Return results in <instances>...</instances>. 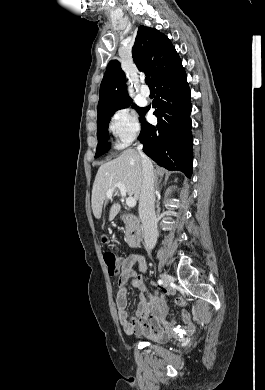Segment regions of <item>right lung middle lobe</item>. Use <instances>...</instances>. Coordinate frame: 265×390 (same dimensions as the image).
Here are the masks:
<instances>
[{
    "label": "right lung middle lobe",
    "instance_id": "right-lung-middle-lobe-1",
    "mask_svg": "<svg viewBox=\"0 0 265 390\" xmlns=\"http://www.w3.org/2000/svg\"><path fill=\"white\" fill-rule=\"evenodd\" d=\"M131 104H132V100H128L115 108L105 111L104 113L100 114L97 117L98 145H97L95 158L103 155L110 149V143H108L107 140H108V126H109V121L111 119V116L114 114L115 111L122 108H127ZM132 107L138 111L139 115L142 118L145 108H139L135 105H133Z\"/></svg>",
    "mask_w": 265,
    "mask_h": 390
}]
</instances>
